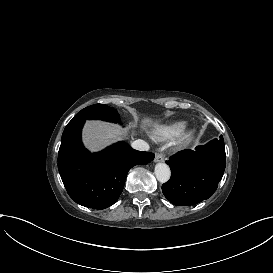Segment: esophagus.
I'll return each mask as SVG.
<instances>
[{
    "label": "esophagus",
    "instance_id": "1",
    "mask_svg": "<svg viewBox=\"0 0 273 273\" xmlns=\"http://www.w3.org/2000/svg\"><path fill=\"white\" fill-rule=\"evenodd\" d=\"M164 158H165L164 154H162V153H157V155H156L155 158H154V161H155V162H163V161H164Z\"/></svg>",
    "mask_w": 273,
    "mask_h": 273
}]
</instances>
